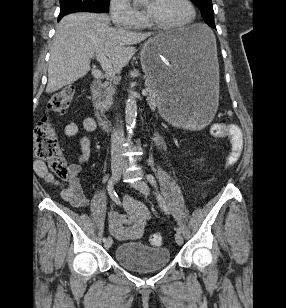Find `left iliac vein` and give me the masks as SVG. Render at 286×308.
<instances>
[{
    "mask_svg": "<svg viewBox=\"0 0 286 308\" xmlns=\"http://www.w3.org/2000/svg\"><path fill=\"white\" fill-rule=\"evenodd\" d=\"M119 164H120V173L125 176V168L127 164L123 156H120ZM132 186L146 196L150 194V188L148 184L143 180H138L137 182L133 183ZM175 241L178 245L183 244V237L181 233L176 232Z\"/></svg>",
    "mask_w": 286,
    "mask_h": 308,
    "instance_id": "left-iliac-vein-1",
    "label": "left iliac vein"
}]
</instances>
